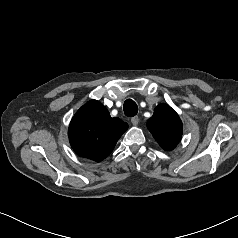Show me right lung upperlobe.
<instances>
[{
  "instance_id": "obj_1",
  "label": "right lung upper lobe",
  "mask_w": 238,
  "mask_h": 238,
  "mask_svg": "<svg viewBox=\"0 0 238 238\" xmlns=\"http://www.w3.org/2000/svg\"><path fill=\"white\" fill-rule=\"evenodd\" d=\"M127 128V123L112 118L105 106L92 100L83 105L72 118L69 141L79 156L99 162L112 152Z\"/></svg>"
}]
</instances>
